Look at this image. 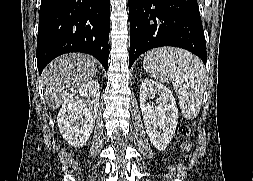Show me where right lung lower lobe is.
Wrapping results in <instances>:
<instances>
[{
	"mask_svg": "<svg viewBox=\"0 0 253 181\" xmlns=\"http://www.w3.org/2000/svg\"><path fill=\"white\" fill-rule=\"evenodd\" d=\"M110 0H42L37 36L39 73L55 57L82 52L108 68Z\"/></svg>",
	"mask_w": 253,
	"mask_h": 181,
	"instance_id": "98d812e1",
	"label": "right lung lower lobe"
}]
</instances>
